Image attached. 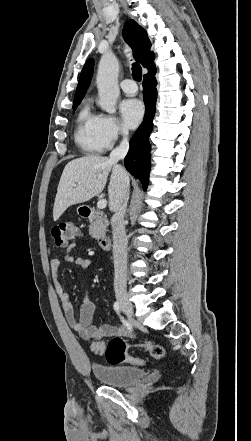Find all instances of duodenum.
Wrapping results in <instances>:
<instances>
[{
  "mask_svg": "<svg viewBox=\"0 0 251 441\" xmlns=\"http://www.w3.org/2000/svg\"><path fill=\"white\" fill-rule=\"evenodd\" d=\"M91 214L92 210L89 207L81 208V215L83 217H90ZM98 243L103 250H108L111 246V238L108 235L103 234L98 238Z\"/></svg>",
  "mask_w": 251,
  "mask_h": 441,
  "instance_id": "obj_1",
  "label": "duodenum"
}]
</instances>
